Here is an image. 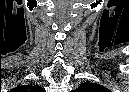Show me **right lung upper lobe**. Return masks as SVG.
I'll return each instance as SVG.
<instances>
[{"instance_id": "obj_1", "label": "right lung upper lobe", "mask_w": 129, "mask_h": 92, "mask_svg": "<svg viewBox=\"0 0 129 92\" xmlns=\"http://www.w3.org/2000/svg\"><path fill=\"white\" fill-rule=\"evenodd\" d=\"M20 88H22L23 90L27 91L28 89H30L31 91H34V92H42L44 91L40 86L38 85H26V86H21Z\"/></svg>"}]
</instances>
